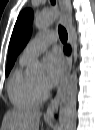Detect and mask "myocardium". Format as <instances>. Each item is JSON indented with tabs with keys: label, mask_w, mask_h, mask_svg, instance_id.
<instances>
[{
	"label": "myocardium",
	"mask_w": 95,
	"mask_h": 130,
	"mask_svg": "<svg viewBox=\"0 0 95 130\" xmlns=\"http://www.w3.org/2000/svg\"><path fill=\"white\" fill-rule=\"evenodd\" d=\"M35 85H36V88H37V90L40 93V95H41L42 98H45V97L48 96V92L45 89V87L43 86V84L35 82Z\"/></svg>",
	"instance_id": "myocardium-1"
}]
</instances>
